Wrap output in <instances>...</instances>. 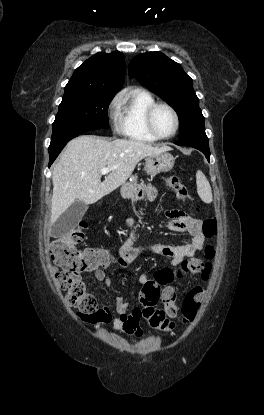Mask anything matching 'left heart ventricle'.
<instances>
[{
	"instance_id": "obj_1",
	"label": "left heart ventricle",
	"mask_w": 264,
	"mask_h": 415,
	"mask_svg": "<svg viewBox=\"0 0 264 415\" xmlns=\"http://www.w3.org/2000/svg\"><path fill=\"white\" fill-rule=\"evenodd\" d=\"M156 131L162 135H169L175 127V119L171 111L165 107H159L153 117Z\"/></svg>"
}]
</instances>
